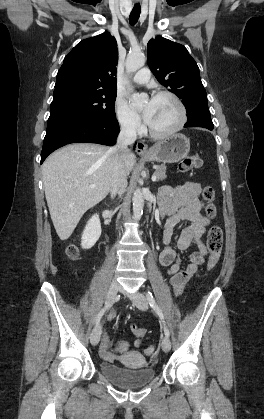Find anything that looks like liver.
<instances>
[{
    "label": "liver",
    "mask_w": 264,
    "mask_h": 419,
    "mask_svg": "<svg viewBox=\"0 0 264 419\" xmlns=\"http://www.w3.org/2000/svg\"><path fill=\"white\" fill-rule=\"evenodd\" d=\"M135 162V155L128 150L123 160L127 175ZM42 178L55 230L61 240H67L83 214L110 192L113 148L90 143L67 145L45 160Z\"/></svg>",
    "instance_id": "6515ba94"
}]
</instances>
